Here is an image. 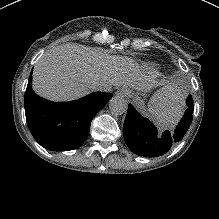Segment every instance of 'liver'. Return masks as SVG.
<instances>
[{
  "instance_id": "obj_1",
  "label": "liver",
  "mask_w": 219,
  "mask_h": 219,
  "mask_svg": "<svg viewBox=\"0 0 219 219\" xmlns=\"http://www.w3.org/2000/svg\"><path fill=\"white\" fill-rule=\"evenodd\" d=\"M102 60L95 50L86 46H71L52 52L37 64L33 81L43 96L54 99H76L94 91L93 82L107 78L112 85L129 87L126 78L108 75L102 70Z\"/></svg>"
}]
</instances>
